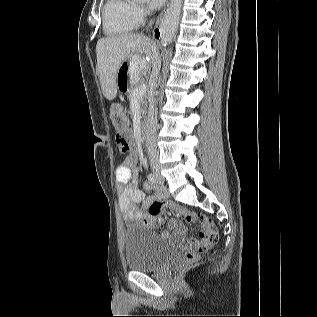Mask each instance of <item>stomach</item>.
I'll return each mask as SVG.
<instances>
[{
  "instance_id": "stomach-1",
  "label": "stomach",
  "mask_w": 317,
  "mask_h": 317,
  "mask_svg": "<svg viewBox=\"0 0 317 317\" xmlns=\"http://www.w3.org/2000/svg\"><path fill=\"white\" fill-rule=\"evenodd\" d=\"M147 61L142 55H127L126 59L120 63V70H116L115 90L117 94H129V87L133 86L134 82L141 83V76L146 66Z\"/></svg>"
}]
</instances>
